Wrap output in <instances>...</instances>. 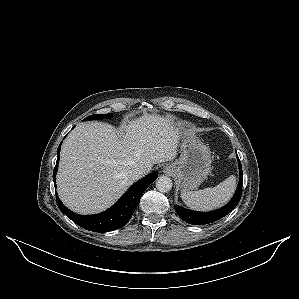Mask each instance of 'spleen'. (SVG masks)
<instances>
[{"label": "spleen", "instance_id": "spleen-1", "mask_svg": "<svg viewBox=\"0 0 299 299\" xmlns=\"http://www.w3.org/2000/svg\"><path fill=\"white\" fill-rule=\"evenodd\" d=\"M235 187L236 179L235 176L231 175L215 187H208L198 191L182 190L181 198L193 210H213L229 201Z\"/></svg>", "mask_w": 299, "mask_h": 299}]
</instances>
